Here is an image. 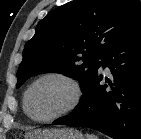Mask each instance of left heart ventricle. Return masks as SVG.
<instances>
[{
	"instance_id": "1",
	"label": "left heart ventricle",
	"mask_w": 141,
	"mask_h": 139,
	"mask_svg": "<svg viewBox=\"0 0 141 139\" xmlns=\"http://www.w3.org/2000/svg\"><path fill=\"white\" fill-rule=\"evenodd\" d=\"M72 98L70 86L56 78L42 80L32 89L29 110L38 118H48L64 109Z\"/></svg>"
}]
</instances>
